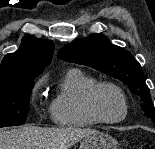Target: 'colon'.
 Here are the masks:
<instances>
[{"label": "colon", "instance_id": "colon-1", "mask_svg": "<svg viewBox=\"0 0 155 149\" xmlns=\"http://www.w3.org/2000/svg\"><path fill=\"white\" fill-rule=\"evenodd\" d=\"M140 149H150V146L148 144H142L139 147Z\"/></svg>", "mask_w": 155, "mask_h": 149}]
</instances>
